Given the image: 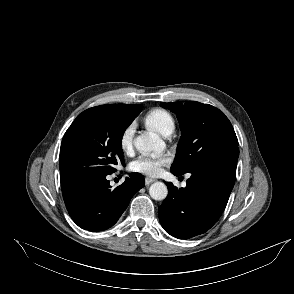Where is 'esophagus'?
<instances>
[{
    "label": "esophagus",
    "instance_id": "34e87169",
    "mask_svg": "<svg viewBox=\"0 0 294 294\" xmlns=\"http://www.w3.org/2000/svg\"><path fill=\"white\" fill-rule=\"evenodd\" d=\"M156 180L155 179H153V178H149V177H146L145 178V184L146 185H149V184H151V183H153V182H155Z\"/></svg>",
    "mask_w": 294,
    "mask_h": 294
}]
</instances>
